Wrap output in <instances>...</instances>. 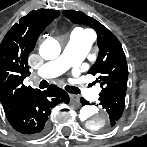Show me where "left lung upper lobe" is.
<instances>
[{
    "label": "left lung upper lobe",
    "instance_id": "obj_1",
    "mask_svg": "<svg viewBox=\"0 0 147 147\" xmlns=\"http://www.w3.org/2000/svg\"><path fill=\"white\" fill-rule=\"evenodd\" d=\"M63 14L73 23L92 27L98 35L99 54L95 64L89 70L98 76L102 91L100 96L112 91L127 90L128 67L122 45L116 36L100 22L81 11H63Z\"/></svg>",
    "mask_w": 147,
    "mask_h": 147
}]
</instances>
